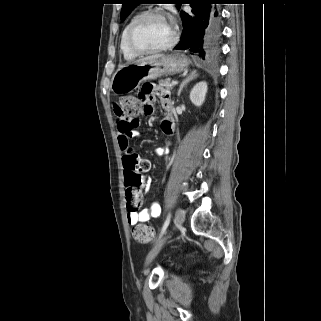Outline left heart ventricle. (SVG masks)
I'll use <instances>...</instances> for the list:
<instances>
[{
	"mask_svg": "<svg viewBox=\"0 0 321 321\" xmlns=\"http://www.w3.org/2000/svg\"><path fill=\"white\" fill-rule=\"evenodd\" d=\"M170 22L161 17H150L143 21L134 34V43L142 49H152L168 43L172 37Z\"/></svg>",
	"mask_w": 321,
	"mask_h": 321,
	"instance_id": "1",
	"label": "left heart ventricle"
}]
</instances>
